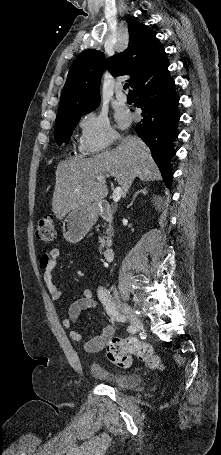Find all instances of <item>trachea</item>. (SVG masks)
<instances>
[{
  "mask_svg": "<svg viewBox=\"0 0 221 455\" xmlns=\"http://www.w3.org/2000/svg\"><path fill=\"white\" fill-rule=\"evenodd\" d=\"M127 88H128V84H125L124 89H127ZM129 93H131V92H129Z\"/></svg>",
  "mask_w": 221,
  "mask_h": 455,
  "instance_id": "obj_1",
  "label": "trachea"
}]
</instances>
